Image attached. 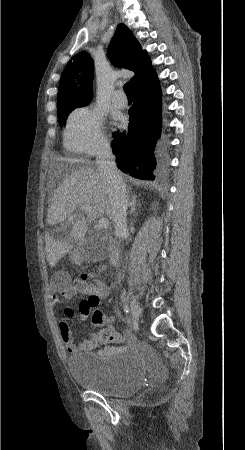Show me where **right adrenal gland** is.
I'll return each mask as SVG.
<instances>
[{"instance_id": "right-adrenal-gland-1", "label": "right adrenal gland", "mask_w": 245, "mask_h": 450, "mask_svg": "<svg viewBox=\"0 0 245 450\" xmlns=\"http://www.w3.org/2000/svg\"><path fill=\"white\" fill-rule=\"evenodd\" d=\"M137 205L140 206V204H139L138 201H137V196H136V195H132V196L130 197V203H129V206H130V215H132V214L135 212L136 206H137Z\"/></svg>"}]
</instances>
